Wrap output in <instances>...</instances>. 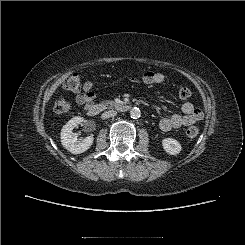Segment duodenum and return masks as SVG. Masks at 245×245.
<instances>
[{"mask_svg": "<svg viewBox=\"0 0 245 245\" xmlns=\"http://www.w3.org/2000/svg\"><path fill=\"white\" fill-rule=\"evenodd\" d=\"M131 108H132L131 104H119L117 105L116 110L118 112L124 113V112H128ZM86 111L89 116L95 117L101 113L102 107L99 104L91 103L86 107Z\"/></svg>", "mask_w": 245, "mask_h": 245, "instance_id": "1", "label": "duodenum"}]
</instances>
